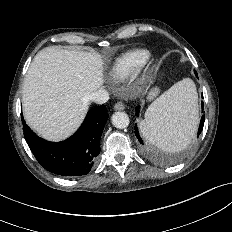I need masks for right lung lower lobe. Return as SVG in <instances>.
Listing matches in <instances>:
<instances>
[{
	"instance_id": "98d812e1",
	"label": "right lung lower lobe",
	"mask_w": 232,
	"mask_h": 232,
	"mask_svg": "<svg viewBox=\"0 0 232 232\" xmlns=\"http://www.w3.org/2000/svg\"><path fill=\"white\" fill-rule=\"evenodd\" d=\"M107 118L105 106L92 108L77 132L58 143L40 138L21 119L26 142L42 167L61 176H79L91 170L100 153V138Z\"/></svg>"
}]
</instances>
